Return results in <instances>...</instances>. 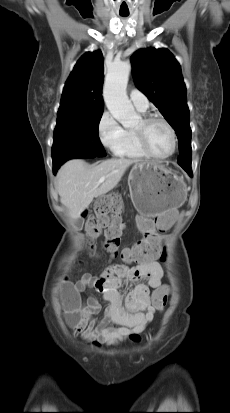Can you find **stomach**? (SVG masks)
Here are the masks:
<instances>
[{
    "instance_id": "obj_1",
    "label": "stomach",
    "mask_w": 230,
    "mask_h": 413,
    "mask_svg": "<svg viewBox=\"0 0 230 413\" xmlns=\"http://www.w3.org/2000/svg\"><path fill=\"white\" fill-rule=\"evenodd\" d=\"M128 184L134 207L147 217L175 211L187 198L183 178L155 162L136 163L129 174Z\"/></svg>"
}]
</instances>
